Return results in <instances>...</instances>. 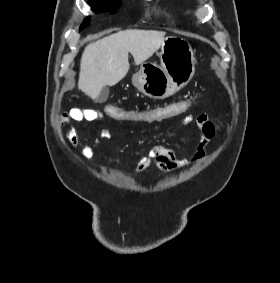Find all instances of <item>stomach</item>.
<instances>
[{
  "label": "stomach",
  "instance_id": "1",
  "mask_svg": "<svg viewBox=\"0 0 280 283\" xmlns=\"http://www.w3.org/2000/svg\"><path fill=\"white\" fill-rule=\"evenodd\" d=\"M161 65L144 63L132 77L144 95L162 99L186 86L195 72V57L189 42L178 36L165 37L160 51Z\"/></svg>",
  "mask_w": 280,
  "mask_h": 283
}]
</instances>
